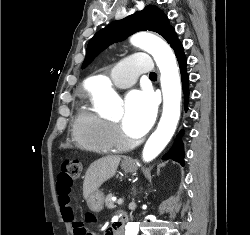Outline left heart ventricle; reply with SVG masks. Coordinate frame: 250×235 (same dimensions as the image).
Listing matches in <instances>:
<instances>
[{
    "mask_svg": "<svg viewBox=\"0 0 250 235\" xmlns=\"http://www.w3.org/2000/svg\"><path fill=\"white\" fill-rule=\"evenodd\" d=\"M122 119V114L118 115L116 118H113L114 121L120 122Z\"/></svg>",
    "mask_w": 250,
    "mask_h": 235,
    "instance_id": "b2bd125f",
    "label": "left heart ventricle"
}]
</instances>
